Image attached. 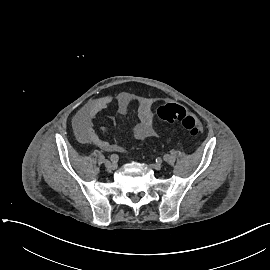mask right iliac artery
<instances>
[{
    "label": "right iliac artery",
    "instance_id": "obj_1",
    "mask_svg": "<svg viewBox=\"0 0 270 270\" xmlns=\"http://www.w3.org/2000/svg\"><path fill=\"white\" fill-rule=\"evenodd\" d=\"M110 160H111L112 162L116 163V162H118L119 157H118V155H116V154H112V155L110 156Z\"/></svg>",
    "mask_w": 270,
    "mask_h": 270
}]
</instances>
